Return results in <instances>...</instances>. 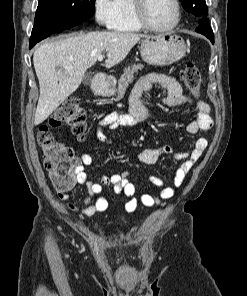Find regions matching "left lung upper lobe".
I'll return each instance as SVG.
<instances>
[{"instance_id":"5c2ea615","label":"left lung upper lobe","mask_w":247,"mask_h":296,"mask_svg":"<svg viewBox=\"0 0 247 296\" xmlns=\"http://www.w3.org/2000/svg\"><path fill=\"white\" fill-rule=\"evenodd\" d=\"M184 8L195 16H203L208 13L205 0H180Z\"/></svg>"}]
</instances>
